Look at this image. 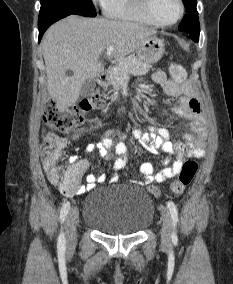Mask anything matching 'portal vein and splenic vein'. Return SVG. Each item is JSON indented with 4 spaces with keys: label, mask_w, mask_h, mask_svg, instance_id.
I'll return each instance as SVG.
<instances>
[{
    "label": "portal vein and splenic vein",
    "mask_w": 233,
    "mask_h": 284,
    "mask_svg": "<svg viewBox=\"0 0 233 284\" xmlns=\"http://www.w3.org/2000/svg\"><path fill=\"white\" fill-rule=\"evenodd\" d=\"M114 51V46H109L106 51V55L110 56Z\"/></svg>",
    "instance_id": "portal-vein-and-splenic-vein-1"
}]
</instances>
